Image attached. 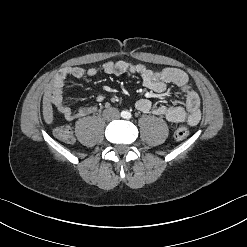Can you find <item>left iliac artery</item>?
I'll use <instances>...</instances> for the list:
<instances>
[{"label":"left iliac artery","instance_id":"1","mask_svg":"<svg viewBox=\"0 0 247 247\" xmlns=\"http://www.w3.org/2000/svg\"><path fill=\"white\" fill-rule=\"evenodd\" d=\"M131 117V115L130 114H128V118H130Z\"/></svg>","mask_w":247,"mask_h":247}]
</instances>
